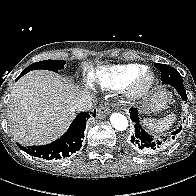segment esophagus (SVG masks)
<instances>
[{
    "instance_id": "esophagus-1",
    "label": "esophagus",
    "mask_w": 196,
    "mask_h": 196,
    "mask_svg": "<svg viewBox=\"0 0 196 196\" xmlns=\"http://www.w3.org/2000/svg\"><path fill=\"white\" fill-rule=\"evenodd\" d=\"M111 112L110 108L105 105H101L98 107V116L99 117H104L108 115Z\"/></svg>"
}]
</instances>
